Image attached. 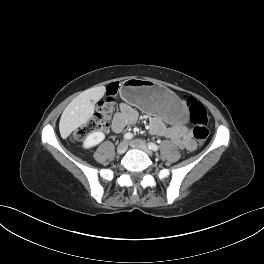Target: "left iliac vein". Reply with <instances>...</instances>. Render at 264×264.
<instances>
[{"label": "left iliac vein", "instance_id": "obj_1", "mask_svg": "<svg viewBox=\"0 0 264 264\" xmlns=\"http://www.w3.org/2000/svg\"><path fill=\"white\" fill-rule=\"evenodd\" d=\"M129 145L133 148L143 150L145 153H147L150 156L152 155V151L148 148L147 144L142 140L139 139L132 140L129 142Z\"/></svg>", "mask_w": 264, "mask_h": 264}]
</instances>
